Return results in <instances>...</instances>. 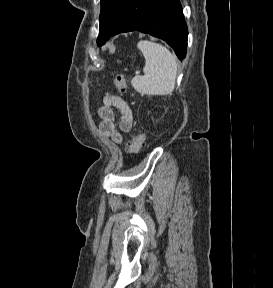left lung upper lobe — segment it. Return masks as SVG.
<instances>
[{
    "mask_svg": "<svg viewBox=\"0 0 273 288\" xmlns=\"http://www.w3.org/2000/svg\"><path fill=\"white\" fill-rule=\"evenodd\" d=\"M131 2L132 0H101L100 28L97 39L99 46L105 44L113 35Z\"/></svg>",
    "mask_w": 273,
    "mask_h": 288,
    "instance_id": "obj_1",
    "label": "left lung upper lobe"
}]
</instances>
